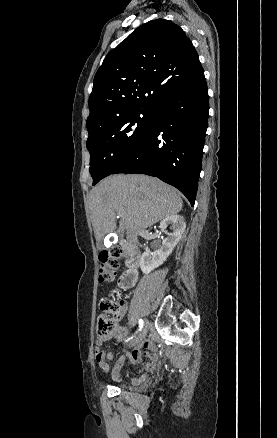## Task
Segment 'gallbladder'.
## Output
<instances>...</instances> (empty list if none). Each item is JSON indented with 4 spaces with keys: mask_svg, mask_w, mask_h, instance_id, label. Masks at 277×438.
<instances>
[{
    "mask_svg": "<svg viewBox=\"0 0 277 438\" xmlns=\"http://www.w3.org/2000/svg\"><path fill=\"white\" fill-rule=\"evenodd\" d=\"M98 248H99L100 251H103V250H104V247H103L102 242H99V244H98Z\"/></svg>",
    "mask_w": 277,
    "mask_h": 438,
    "instance_id": "1",
    "label": "gallbladder"
}]
</instances>
